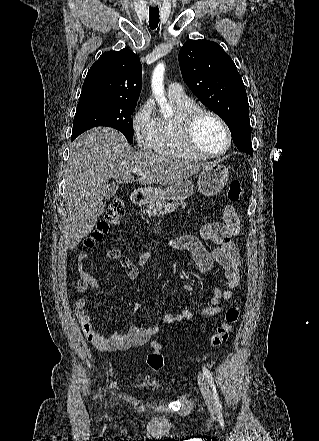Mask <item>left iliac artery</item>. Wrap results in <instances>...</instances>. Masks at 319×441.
Masks as SVG:
<instances>
[{
  "label": "left iliac artery",
  "mask_w": 319,
  "mask_h": 441,
  "mask_svg": "<svg viewBox=\"0 0 319 441\" xmlns=\"http://www.w3.org/2000/svg\"><path fill=\"white\" fill-rule=\"evenodd\" d=\"M202 370H203V374L206 376L208 382L211 385L216 409L220 411V410H222V405H221V402H220V399H219V396H218V393L216 390V386L214 384V379L212 377V373L206 367H202Z\"/></svg>",
  "instance_id": "44dca946"
}]
</instances>
